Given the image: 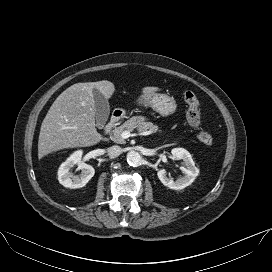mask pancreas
I'll return each mask as SVG.
<instances>
[{
    "instance_id": "cf45deb5",
    "label": "pancreas",
    "mask_w": 272,
    "mask_h": 272,
    "mask_svg": "<svg viewBox=\"0 0 272 272\" xmlns=\"http://www.w3.org/2000/svg\"><path fill=\"white\" fill-rule=\"evenodd\" d=\"M140 127L142 131L149 130L151 133L159 132L161 133V130L157 125H154L152 123H145L144 121H141L140 116H133L126 122H124L121 126L116 127L112 132V140L115 143L118 144H125L126 141L121 137L122 132L124 131H133L134 129Z\"/></svg>"
}]
</instances>
